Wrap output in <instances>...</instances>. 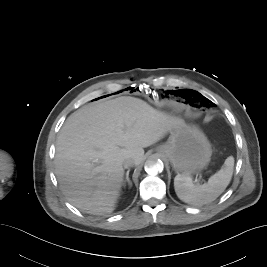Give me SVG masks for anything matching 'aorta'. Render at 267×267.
Wrapping results in <instances>:
<instances>
[{
	"label": "aorta",
	"instance_id": "aorta-1",
	"mask_svg": "<svg viewBox=\"0 0 267 267\" xmlns=\"http://www.w3.org/2000/svg\"><path fill=\"white\" fill-rule=\"evenodd\" d=\"M145 171L149 175H157L161 173L164 169V164L161 159L157 156H151L146 162L144 166Z\"/></svg>",
	"mask_w": 267,
	"mask_h": 267
}]
</instances>
